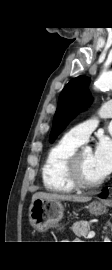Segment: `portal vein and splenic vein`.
Segmentation results:
<instances>
[{
  "mask_svg": "<svg viewBox=\"0 0 112 270\" xmlns=\"http://www.w3.org/2000/svg\"><path fill=\"white\" fill-rule=\"evenodd\" d=\"M95 237V232L94 231H90L89 234H88V238L89 239H92Z\"/></svg>",
  "mask_w": 112,
  "mask_h": 270,
  "instance_id": "portal-vein-and-splenic-vein-1",
  "label": "portal vein and splenic vein"
}]
</instances>
